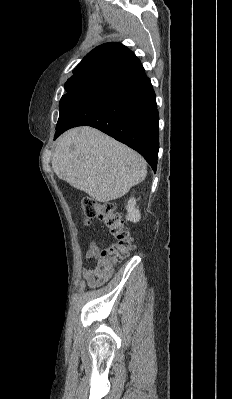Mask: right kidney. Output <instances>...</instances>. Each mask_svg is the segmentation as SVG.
<instances>
[{"mask_svg":"<svg viewBox=\"0 0 232 399\" xmlns=\"http://www.w3.org/2000/svg\"><path fill=\"white\" fill-rule=\"evenodd\" d=\"M136 201L137 200H135V198H130V200H128V203L126 205V209L128 211L126 219H129V221H134V223H136V221H139V219H141V213L139 209H137L136 207Z\"/></svg>","mask_w":232,"mask_h":399,"instance_id":"ca27d5eb","label":"right kidney"}]
</instances>
